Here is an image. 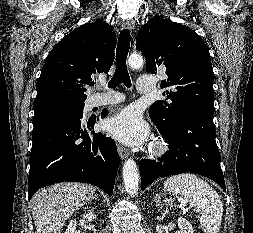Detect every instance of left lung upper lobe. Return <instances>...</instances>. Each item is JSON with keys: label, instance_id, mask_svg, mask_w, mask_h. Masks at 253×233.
Wrapping results in <instances>:
<instances>
[{"label": "left lung upper lobe", "instance_id": "left-lung-upper-lobe-1", "mask_svg": "<svg viewBox=\"0 0 253 233\" xmlns=\"http://www.w3.org/2000/svg\"><path fill=\"white\" fill-rule=\"evenodd\" d=\"M136 48L146 58V71L164 72L167 100L155 101L149 116L157 128L170 133L180 116L214 114V73L209 50L189 27L161 16L149 19L138 31Z\"/></svg>", "mask_w": 253, "mask_h": 233}]
</instances>
